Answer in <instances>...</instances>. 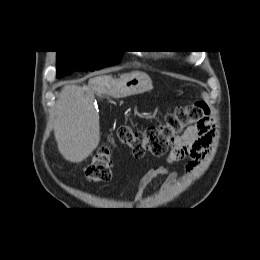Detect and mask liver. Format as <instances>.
Listing matches in <instances>:
<instances>
[{"label": "liver", "mask_w": 260, "mask_h": 260, "mask_svg": "<svg viewBox=\"0 0 260 260\" xmlns=\"http://www.w3.org/2000/svg\"><path fill=\"white\" fill-rule=\"evenodd\" d=\"M116 83L111 75H98L88 85L68 84L62 88L55 106L54 136L66 160L82 162L99 145V114L94 105V92L98 96H112Z\"/></svg>", "instance_id": "obj_1"}]
</instances>
